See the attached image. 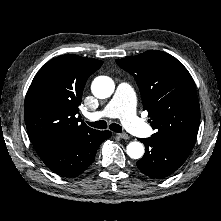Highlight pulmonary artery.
Wrapping results in <instances>:
<instances>
[{
	"mask_svg": "<svg viewBox=\"0 0 221 221\" xmlns=\"http://www.w3.org/2000/svg\"><path fill=\"white\" fill-rule=\"evenodd\" d=\"M86 117L91 121L101 118H120L124 126L133 134L146 137L151 134V128L145 124L135 111V94L127 83H120L111 101L106 107Z\"/></svg>",
	"mask_w": 221,
	"mask_h": 221,
	"instance_id": "obj_1",
	"label": "pulmonary artery"
}]
</instances>
